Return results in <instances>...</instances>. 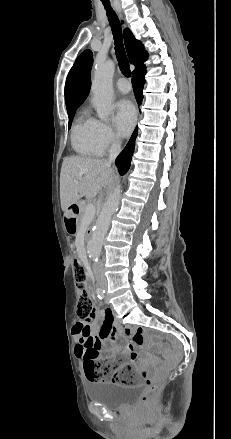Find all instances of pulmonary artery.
Instances as JSON below:
<instances>
[{"label": "pulmonary artery", "mask_w": 231, "mask_h": 439, "mask_svg": "<svg viewBox=\"0 0 231 439\" xmlns=\"http://www.w3.org/2000/svg\"><path fill=\"white\" fill-rule=\"evenodd\" d=\"M116 87L118 88L119 91H121L122 93H127L130 91L131 86L128 83V81L124 78H120L116 81Z\"/></svg>", "instance_id": "1"}]
</instances>
